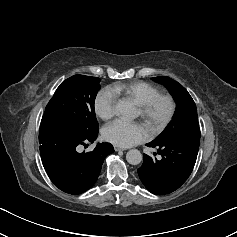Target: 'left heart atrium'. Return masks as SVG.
I'll use <instances>...</instances> for the list:
<instances>
[{
  "label": "left heart atrium",
  "instance_id": "obj_1",
  "mask_svg": "<svg viewBox=\"0 0 237 237\" xmlns=\"http://www.w3.org/2000/svg\"><path fill=\"white\" fill-rule=\"evenodd\" d=\"M103 139L118 147H131L148 139L147 129L138 123L115 121L102 130Z\"/></svg>",
  "mask_w": 237,
  "mask_h": 237
}]
</instances>
